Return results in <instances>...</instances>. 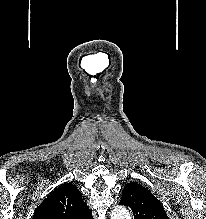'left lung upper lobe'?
<instances>
[{
  "instance_id": "left-lung-upper-lobe-1",
  "label": "left lung upper lobe",
  "mask_w": 206,
  "mask_h": 219,
  "mask_svg": "<svg viewBox=\"0 0 206 219\" xmlns=\"http://www.w3.org/2000/svg\"><path fill=\"white\" fill-rule=\"evenodd\" d=\"M119 204L129 206L134 219H169L159 200L136 182L128 183L123 189Z\"/></svg>"
}]
</instances>
